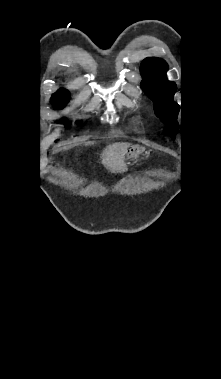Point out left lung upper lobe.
I'll use <instances>...</instances> for the list:
<instances>
[{"instance_id": "left-lung-upper-lobe-1", "label": "left lung upper lobe", "mask_w": 221, "mask_h": 379, "mask_svg": "<svg viewBox=\"0 0 221 379\" xmlns=\"http://www.w3.org/2000/svg\"><path fill=\"white\" fill-rule=\"evenodd\" d=\"M167 70L168 65L163 59L146 58L140 67L143 76L141 87L147 96L153 100L156 115L160 117L163 123L172 125V128L167 129L166 132L175 137L178 132L177 115L179 107L173 101L176 84L167 80Z\"/></svg>"}]
</instances>
